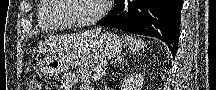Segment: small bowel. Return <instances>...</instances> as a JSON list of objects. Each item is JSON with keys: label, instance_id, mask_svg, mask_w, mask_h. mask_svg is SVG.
Instances as JSON below:
<instances>
[{"label": "small bowel", "instance_id": "obj_1", "mask_svg": "<svg viewBox=\"0 0 216 90\" xmlns=\"http://www.w3.org/2000/svg\"><path fill=\"white\" fill-rule=\"evenodd\" d=\"M77 83V76L74 73H66L62 77L61 86L59 90H72ZM81 90H91L87 85H83Z\"/></svg>", "mask_w": 216, "mask_h": 90}]
</instances>
